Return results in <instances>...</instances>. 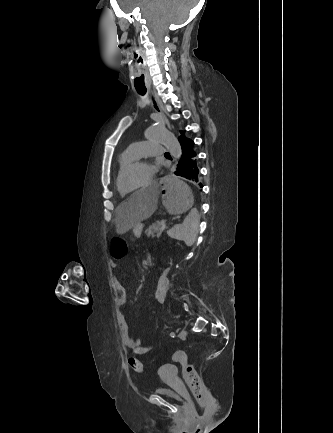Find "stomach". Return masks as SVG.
Instances as JSON below:
<instances>
[{
  "label": "stomach",
  "mask_w": 333,
  "mask_h": 433,
  "mask_svg": "<svg viewBox=\"0 0 333 433\" xmlns=\"http://www.w3.org/2000/svg\"><path fill=\"white\" fill-rule=\"evenodd\" d=\"M162 192L165 199L164 210L166 215H188V210L193 208V191L189 183H184L183 176L168 174L161 177ZM142 224L133 227V233L139 236Z\"/></svg>",
  "instance_id": "1"
}]
</instances>
